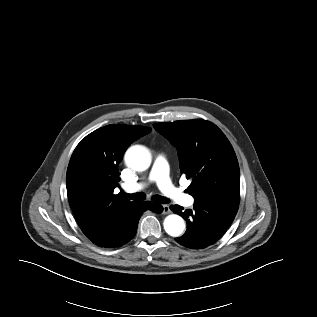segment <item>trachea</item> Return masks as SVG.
<instances>
[{"label": "trachea", "instance_id": "obj_1", "mask_svg": "<svg viewBox=\"0 0 317 317\" xmlns=\"http://www.w3.org/2000/svg\"><path fill=\"white\" fill-rule=\"evenodd\" d=\"M124 195L130 198L131 200H143L146 198V195L142 192L133 193V194H127L124 192ZM152 200L160 204H166L169 202V200L166 197H163L160 195H154L152 197Z\"/></svg>", "mask_w": 317, "mask_h": 317}]
</instances>
